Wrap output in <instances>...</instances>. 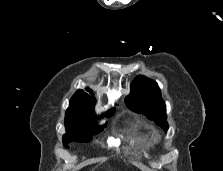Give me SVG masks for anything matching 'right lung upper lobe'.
Returning <instances> with one entry per match:
<instances>
[{
    "label": "right lung upper lobe",
    "mask_w": 223,
    "mask_h": 171,
    "mask_svg": "<svg viewBox=\"0 0 223 171\" xmlns=\"http://www.w3.org/2000/svg\"><path fill=\"white\" fill-rule=\"evenodd\" d=\"M95 99L83 90H78L70 100V108H94Z\"/></svg>",
    "instance_id": "1"
}]
</instances>
